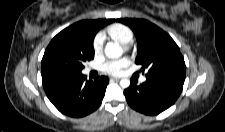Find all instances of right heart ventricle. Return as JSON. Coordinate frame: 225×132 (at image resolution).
Segmentation results:
<instances>
[{
  "mask_svg": "<svg viewBox=\"0 0 225 132\" xmlns=\"http://www.w3.org/2000/svg\"><path fill=\"white\" fill-rule=\"evenodd\" d=\"M106 34L112 40L117 41L123 45L131 43L134 36L132 29L121 23H114L110 25L106 29Z\"/></svg>",
  "mask_w": 225,
  "mask_h": 132,
  "instance_id": "e07e8e85",
  "label": "right heart ventricle"
}]
</instances>
